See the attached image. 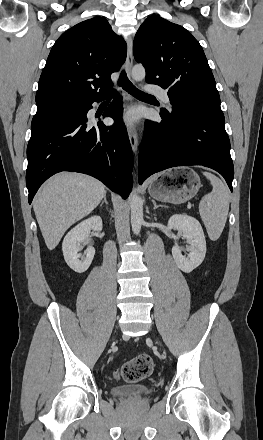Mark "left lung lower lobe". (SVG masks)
<instances>
[{
    "mask_svg": "<svg viewBox=\"0 0 263 440\" xmlns=\"http://www.w3.org/2000/svg\"><path fill=\"white\" fill-rule=\"evenodd\" d=\"M161 122L146 121L139 151V184L175 166L202 165L219 172L233 191L234 167L220 106L172 107Z\"/></svg>",
    "mask_w": 263,
    "mask_h": 440,
    "instance_id": "left-lung-lower-lobe-1",
    "label": "left lung lower lobe"
}]
</instances>
